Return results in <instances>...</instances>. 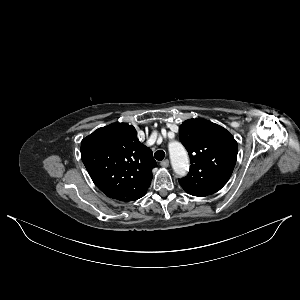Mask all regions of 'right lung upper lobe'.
Instances as JSON below:
<instances>
[{
  "mask_svg": "<svg viewBox=\"0 0 300 300\" xmlns=\"http://www.w3.org/2000/svg\"><path fill=\"white\" fill-rule=\"evenodd\" d=\"M81 157L95 185L108 197L125 202L146 194L157 167L151 149L126 123L110 124L84 138Z\"/></svg>",
  "mask_w": 300,
  "mask_h": 300,
  "instance_id": "1",
  "label": "right lung upper lobe"
}]
</instances>
